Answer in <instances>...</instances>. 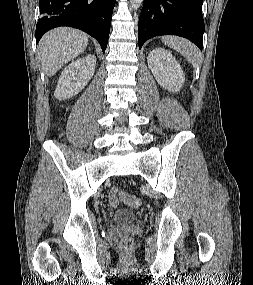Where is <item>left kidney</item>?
Returning a JSON list of instances; mask_svg holds the SVG:
<instances>
[{"instance_id":"obj_1","label":"left kidney","mask_w":253,"mask_h":285,"mask_svg":"<svg viewBox=\"0 0 253 285\" xmlns=\"http://www.w3.org/2000/svg\"><path fill=\"white\" fill-rule=\"evenodd\" d=\"M148 67L159 85L170 92L183 87L185 75L175 57L163 48L153 49L147 57Z\"/></svg>"}]
</instances>
